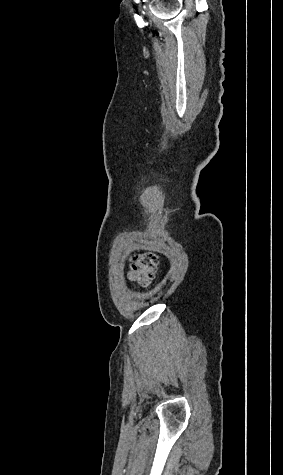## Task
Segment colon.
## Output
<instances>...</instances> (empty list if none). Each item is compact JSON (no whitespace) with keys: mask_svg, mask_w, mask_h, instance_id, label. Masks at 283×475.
Segmentation results:
<instances>
[{"mask_svg":"<svg viewBox=\"0 0 283 475\" xmlns=\"http://www.w3.org/2000/svg\"><path fill=\"white\" fill-rule=\"evenodd\" d=\"M157 263V256L151 250L132 256V267L127 274L129 281L138 286H146L154 276Z\"/></svg>","mask_w":283,"mask_h":475,"instance_id":"obj_1","label":"colon"}]
</instances>
